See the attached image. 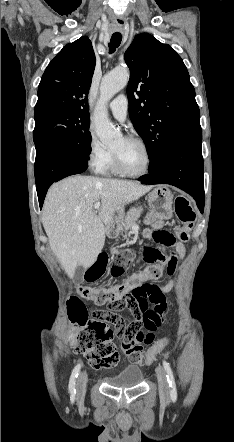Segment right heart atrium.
Returning <instances> with one entry per match:
<instances>
[{
  "label": "right heart atrium",
  "instance_id": "d8ad5b80",
  "mask_svg": "<svg viewBox=\"0 0 234 442\" xmlns=\"http://www.w3.org/2000/svg\"><path fill=\"white\" fill-rule=\"evenodd\" d=\"M87 148L89 167L95 172H101L109 160L111 152L101 143L92 129L88 132Z\"/></svg>",
  "mask_w": 234,
  "mask_h": 442
}]
</instances>
